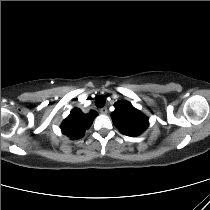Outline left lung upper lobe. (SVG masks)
Returning a JSON list of instances; mask_svg holds the SVG:
<instances>
[{
  "instance_id": "5c2ea615",
  "label": "left lung upper lobe",
  "mask_w": 210,
  "mask_h": 210,
  "mask_svg": "<svg viewBox=\"0 0 210 210\" xmlns=\"http://www.w3.org/2000/svg\"><path fill=\"white\" fill-rule=\"evenodd\" d=\"M111 118L114 125L127 136H137L148 127V118L127 101L115 104Z\"/></svg>"
}]
</instances>
